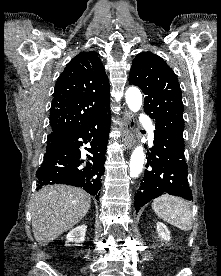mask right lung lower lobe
<instances>
[{"mask_svg":"<svg viewBox=\"0 0 221 276\" xmlns=\"http://www.w3.org/2000/svg\"><path fill=\"white\" fill-rule=\"evenodd\" d=\"M110 117L109 107L68 136L63 145L48 149L36 172L38 189L47 184L64 183L84 188L98 199L101 177L105 171ZM80 138L83 141H79ZM84 143H90L91 146L86 148L89 152L87 161L81 159L79 150Z\"/></svg>","mask_w":221,"mask_h":276,"instance_id":"obj_1","label":"right lung lower lobe"}]
</instances>
